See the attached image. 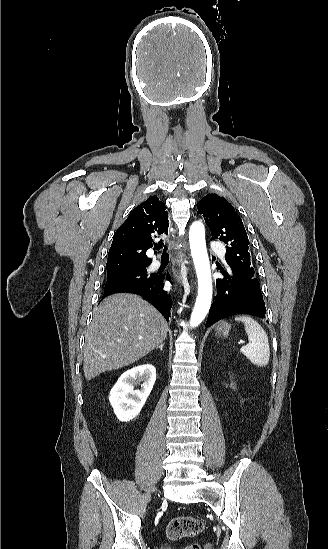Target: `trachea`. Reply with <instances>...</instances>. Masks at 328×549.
<instances>
[{
    "label": "trachea",
    "mask_w": 328,
    "mask_h": 549,
    "mask_svg": "<svg viewBox=\"0 0 328 549\" xmlns=\"http://www.w3.org/2000/svg\"><path fill=\"white\" fill-rule=\"evenodd\" d=\"M160 248H162V246H161V245H155V249H156V250H159ZM163 255H168V254H167L166 252H164V254H163Z\"/></svg>",
    "instance_id": "obj_1"
}]
</instances>
